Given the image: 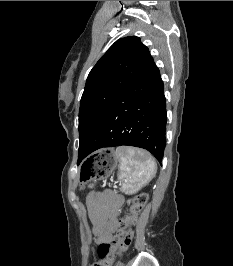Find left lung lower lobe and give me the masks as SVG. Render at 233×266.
I'll use <instances>...</instances> for the list:
<instances>
[{"instance_id": "0a47b994", "label": "left lung lower lobe", "mask_w": 233, "mask_h": 266, "mask_svg": "<svg viewBox=\"0 0 233 266\" xmlns=\"http://www.w3.org/2000/svg\"><path fill=\"white\" fill-rule=\"evenodd\" d=\"M166 119L163 81L151 57L79 153L78 164L97 149L120 145L144 148L161 162Z\"/></svg>"}]
</instances>
